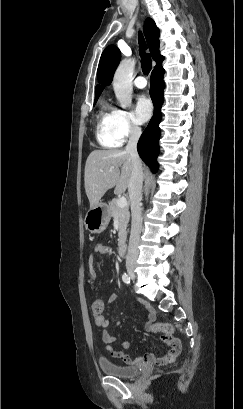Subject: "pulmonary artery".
<instances>
[{
	"label": "pulmonary artery",
	"instance_id": "e3ab8cb5",
	"mask_svg": "<svg viewBox=\"0 0 243 409\" xmlns=\"http://www.w3.org/2000/svg\"><path fill=\"white\" fill-rule=\"evenodd\" d=\"M134 85L139 89H144L147 86L146 78L142 75L138 76L134 81Z\"/></svg>",
	"mask_w": 243,
	"mask_h": 409
}]
</instances>
